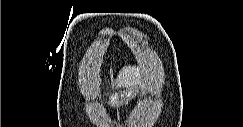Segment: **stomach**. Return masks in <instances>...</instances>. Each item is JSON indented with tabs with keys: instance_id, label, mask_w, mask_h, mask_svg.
I'll use <instances>...</instances> for the list:
<instances>
[{
	"instance_id": "0dacf381",
	"label": "stomach",
	"mask_w": 243,
	"mask_h": 127,
	"mask_svg": "<svg viewBox=\"0 0 243 127\" xmlns=\"http://www.w3.org/2000/svg\"><path fill=\"white\" fill-rule=\"evenodd\" d=\"M139 91L138 86L127 87L126 90L113 92L109 96L108 104L113 108H118L124 102L133 98Z\"/></svg>"
}]
</instances>
